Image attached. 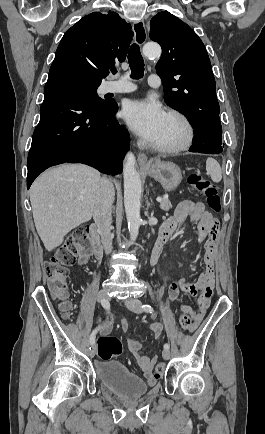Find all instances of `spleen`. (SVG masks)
Masks as SVG:
<instances>
[{
	"label": "spleen",
	"instance_id": "spleen-1",
	"mask_svg": "<svg viewBox=\"0 0 265 434\" xmlns=\"http://www.w3.org/2000/svg\"><path fill=\"white\" fill-rule=\"evenodd\" d=\"M206 170L207 174H210L211 180H213V182H221L222 172L220 164H218L214 158H208L206 162Z\"/></svg>",
	"mask_w": 265,
	"mask_h": 434
}]
</instances>
